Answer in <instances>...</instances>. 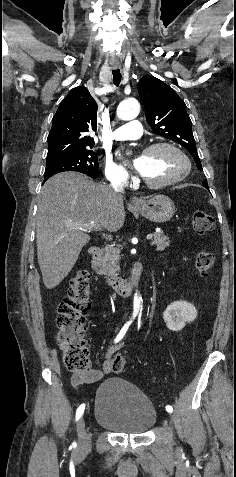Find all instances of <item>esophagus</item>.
<instances>
[{
    "label": "esophagus",
    "instance_id": "obj_1",
    "mask_svg": "<svg viewBox=\"0 0 236 477\" xmlns=\"http://www.w3.org/2000/svg\"><path fill=\"white\" fill-rule=\"evenodd\" d=\"M118 67H119V64H112V68L117 69ZM132 203L135 206H140L142 201H141V199H139L137 197H133L132 198Z\"/></svg>",
    "mask_w": 236,
    "mask_h": 477
}]
</instances>
